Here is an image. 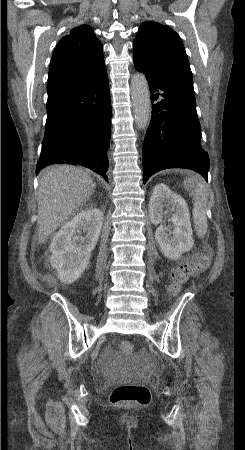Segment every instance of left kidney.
<instances>
[{"label": "left kidney", "mask_w": 245, "mask_h": 450, "mask_svg": "<svg viewBox=\"0 0 245 450\" xmlns=\"http://www.w3.org/2000/svg\"><path fill=\"white\" fill-rule=\"evenodd\" d=\"M163 208H167L172 214L173 230L170 232L162 224ZM149 218L152 224H160L156 229L155 239L167 258L177 260L183 253L192 249L194 240L188 205L165 184H158L153 189L149 202Z\"/></svg>", "instance_id": "1"}]
</instances>
